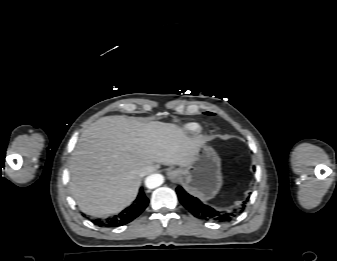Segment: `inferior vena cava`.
<instances>
[{
  "instance_id": "602c4592",
  "label": "inferior vena cava",
  "mask_w": 337,
  "mask_h": 261,
  "mask_svg": "<svg viewBox=\"0 0 337 261\" xmlns=\"http://www.w3.org/2000/svg\"><path fill=\"white\" fill-rule=\"evenodd\" d=\"M153 168L152 167H146L144 168V170L141 172V176H145L146 174H148L149 172H152Z\"/></svg>"
}]
</instances>
